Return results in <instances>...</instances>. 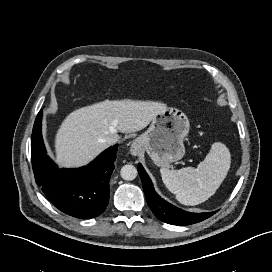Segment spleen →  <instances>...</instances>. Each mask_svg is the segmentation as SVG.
<instances>
[{"mask_svg":"<svg viewBox=\"0 0 272 272\" xmlns=\"http://www.w3.org/2000/svg\"><path fill=\"white\" fill-rule=\"evenodd\" d=\"M231 163L228 148L216 142L197 168L180 170L161 168L162 181L184 205H198L209 199L225 179Z\"/></svg>","mask_w":272,"mask_h":272,"instance_id":"obj_1","label":"spleen"}]
</instances>
